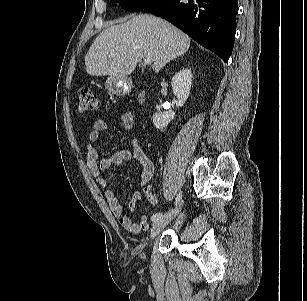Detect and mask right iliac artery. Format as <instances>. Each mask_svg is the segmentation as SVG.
<instances>
[{
	"instance_id": "1",
	"label": "right iliac artery",
	"mask_w": 307,
	"mask_h": 301,
	"mask_svg": "<svg viewBox=\"0 0 307 301\" xmlns=\"http://www.w3.org/2000/svg\"><path fill=\"white\" fill-rule=\"evenodd\" d=\"M180 199H181V194L179 193L178 196H177V198H176V203H177L178 201H180ZM161 216H162V213H159V212H158V213H155V214L152 215L151 220H152L153 222H155V221H157Z\"/></svg>"
}]
</instances>
